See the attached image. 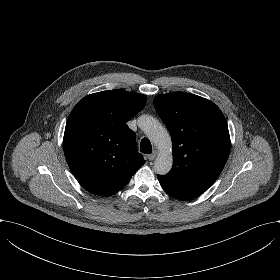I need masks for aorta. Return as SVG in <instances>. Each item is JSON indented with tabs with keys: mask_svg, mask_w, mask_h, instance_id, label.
Listing matches in <instances>:
<instances>
[{
	"mask_svg": "<svg viewBox=\"0 0 280 280\" xmlns=\"http://www.w3.org/2000/svg\"><path fill=\"white\" fill-rule=\"evenodd\" d=\"M138 125L159 149V154L154 161L155 173L166 175L173 164L171 137L167 129L151 115H141L138 118Z\"/></svg>",
	"mask_w": 280,
	"mask_h": 280,
	"instance_id": "762f6f07",
	"label": "aorta"
}]
</instances>
